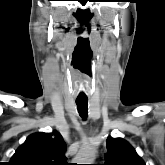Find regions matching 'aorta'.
<instances>
[{"mask_svg": "<svg viewBox=\"0 0 165 165\" xmlns=\"http://www.w3.org/2000/svg\"><path fill=\"white\" fill-rule=\"evenodd\" d=\"M95 157L96 150L92 147H85L79 150L73 161L77 164H93Z\"/></svg>", "mask_w": 165, "mask_h": 165, "instance_id": "762f6f07", "label": "aorta"}]
</instances>
